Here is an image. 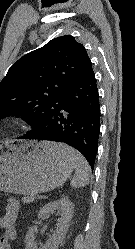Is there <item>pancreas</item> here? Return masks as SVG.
Wrapping results in <instances>:
<instances>
[{
	"instance_id": "cf45deb5",
	"label": "pancreas",
	"mask_w": 135,
	"mask_h": 249,
	"mask_svg": "<svg viewBox=\"0 0 135 249\" xmlns=\"http://www.w3.org/2000/svg\"><path fill=\"white\" fill-rule=\"evenodd\" d=\"M34 199H35L34 195H29V196L22 198V202L28 204V203L33 202Z\"/></svg>"
}]
</instances>
